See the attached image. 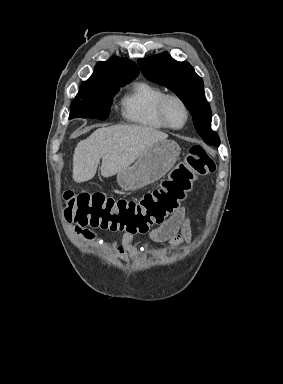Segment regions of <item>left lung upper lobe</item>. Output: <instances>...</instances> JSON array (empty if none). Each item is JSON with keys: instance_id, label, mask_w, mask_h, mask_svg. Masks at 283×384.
<instances>
[{"instance_id": "1", "label": "left lung upper lobe", "mask_w": 283, "mask_h": 384, "mask_svg": "<svg viewBox=\"0 0 283 384\" xmlns=\"http://www.w3.org/2000/svg\"><path fill=\"white\" fill-rule=\"evenodd\" d=\"M138 63L148 80L168 87L184 102L204 142L218 146L220 139L210 127L211 108L204 95V83L193 67L174 60L167 52L140 59Z\"/></svg>"}]
</instances>
